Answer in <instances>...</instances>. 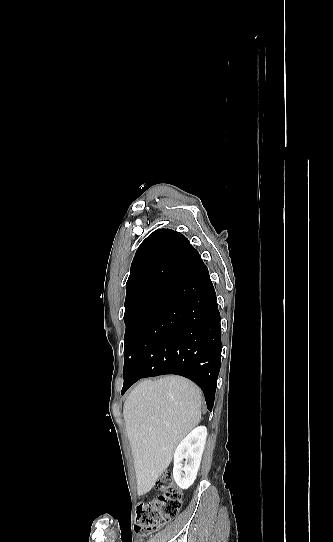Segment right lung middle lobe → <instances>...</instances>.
<instances>
[{"mask_svg":"<svg viewBox=\"0 0 333 542\" xmlns=\"http://www.w3.org/2000/svg\"><path fill=\"white\" fill-rule=\"evenodd\" d=\"M166 294L152 296L139 304L125 309L124 368L134 359L135 343L150 314Z\"/></svg>","mask_w":333,"mask_h":542,"instance_id":"dd1d6c3e","label":"right lung middle lobe"}]
</instances>
